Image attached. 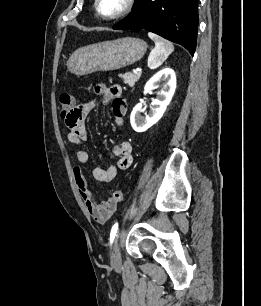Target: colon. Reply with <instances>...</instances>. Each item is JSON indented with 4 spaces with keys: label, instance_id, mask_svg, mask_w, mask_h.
<instances>
[{
    "label": "colon",
    "instance_id": "obj_1",
    "mask_svg": "<svg viewBox=\"0 0 261 306\" xmlns=\"http://www.w3.org/2000/svg\"><path fill=\"white\" fill-rule=\"evenodd\" d=\"M60 107L62 110V117L65 118L70 114L75 108V98L73 95L64 93L59 98ZM112 198L116 202H120L123 199V192L121 190H116L113 192Z\"/></svg>",
    "mask_w": 261,
    "mask_h": 306
}]
</instances>
